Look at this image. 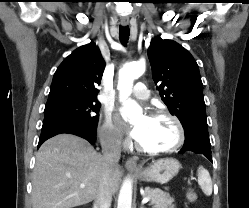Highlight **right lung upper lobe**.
Instances as JSON below:
<instances>
[{"label":"right lung upper lobe","mask_w":249,"mask_h":208,"mask_svg":"<svg viewBox=\"0 0 249 208\" xmlns=\"http://www.w3.org/2000/svg\"><path fill=\"white\" fill-rule=\"evenodd\" d=\"M104 68L105 61L93 42L79 47L57 68L45 107L96 99Z\"/></svg>","instance_id":"cb5924a9"}]
</instances>
